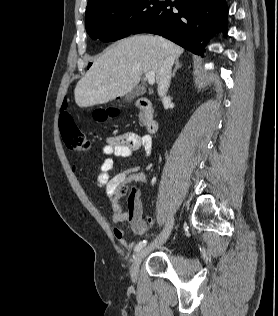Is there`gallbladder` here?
Here are the masks:
<instances>
[{
  "label": "gallbladder",
  "mask_w": 278,
  "mask_h": 316,
  "mask_svg": "<svg viewBox=\"0 0 278 316\" xmlns=\"http://www.w3.org/2000/svg\"><path fill=\"white\" fill-rule=\"evenodd\" d=\"M145 93V89L143 87L137 86L128 94L125 95V101L131 102L135 97L143 95Z\"/></svg>",
  "instance_id": "1"
}]
</instances>
